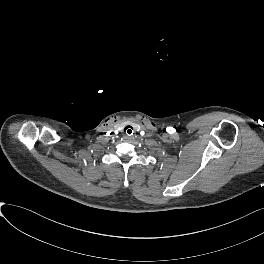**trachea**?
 I'll return each instance as SVG.
<instances>
[{
    "mask_svg": "<svg viewBox=\"0 0 264 264\" xmlns=\"http://www.w3.org/2000/svg\"><path fill=\"white\" fill-rule=\"evenodd\" d=\"M133 132H134V130H133L132 126H126L124 128V134L125 135L131 136L133 134Z\"/></svg>",
    "mask_w": 264,
    "mask_h": 264,
    "instance_id": "obj_1",
    "label": "trachea"
}]
</instances>
